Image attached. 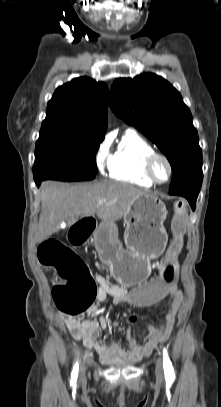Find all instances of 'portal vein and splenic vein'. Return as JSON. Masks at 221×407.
Instances as JSON below:
<instances>
[{"mask_svg": "<svg viewBox=\"0 0 221 407\" xmlns=\"http://www.w3.org/2000/svg\"><path fill=\"white\" fill-rule=\"evenodd\" d=\"M106 202V200H99V204H104Z\"/></svg>", "mask_w": 221, "mask_h": 407, "instance_id": "obj_1", "label": "portal vein and splenic vein"}]
</instances>
